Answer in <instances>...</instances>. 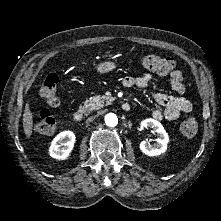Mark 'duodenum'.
Here are the masks:
<instances>
[{
    "instance_id": "obj_1",
    "label": "duodenum",
    "mask_w": 221,
    "mask_h": 221,
    "mask_svg": "<svg viewBox=\"0 0 221 221\" xmlns=\"http://www.w3.org/2000/svg\"><path fill=\"white\" fill-rule=\"evenodd\" d=\"M121 107L124 111H128L130 110V104L127 103V102H124L121 104ZM84 110L83 109H77L75 110L73 113H72V119L75 121V122H81L84 118Z\"/></svg>"
}]
</instances>
